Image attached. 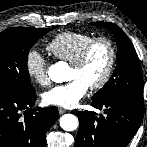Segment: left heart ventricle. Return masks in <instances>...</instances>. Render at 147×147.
Instances as JSON below:
<instances>
[{"label": "left heart ventricle", "mask_w": 147, "mask_h": 147, "mask_svg": "<svg viewBox=\"0 0 147 147\" xmlns=\"http://www.w3.org/2000/svg\"><path fill=\"white\" fill-rule=\"evenodd\" d=\"M109 48L105 43L97 44L91 51L86 63L81 68L70 67L68 80L81 79L89 86L104 75L109 63Z\"/></svg>", "instance_id": "b2bd125f"}]
</instances>
